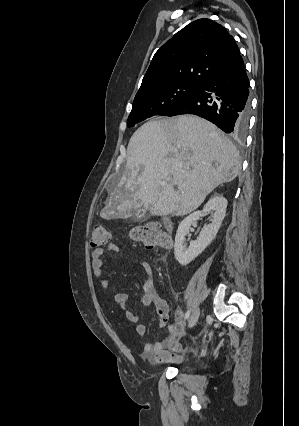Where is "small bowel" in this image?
Instances as JSON below:
<instances>
[{
	"label": "small bowel",
	"instance_id": "small-bowel-1",
	"mask_svg": "<svg viewBox=\"0 0 299 426\" xmlns=\"http://www.w3.org/2000/svg\"><path fill=\"white\" fill-rule=\"evenodd\" d=\"M105 252L120 253V248L109 243L106 248H98L92 252L91 267L93 275L100 278L101 288L106 290L110 287V279L104 277L103 255ZM140 266L145 273V282L143 285L144 296L142 302L145 306L154 305L159 316V326L166 328L169 335L160 342L147 343L144 345L142 357L154 363H180L182 356V345L179 339L183 331L182 311L175 313V322L170 320L169 306L167 302L159 295L156 290L153 270L149 263L140 262ZM114 301L124 310L127 320L136 325V333L143 336L146 333V325L140 320V317L128 309V296L124 292H118L114 295Z\"/></svg>",
	"mask_w": 299,
	"mask_h": 426
}]
</instances>
